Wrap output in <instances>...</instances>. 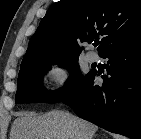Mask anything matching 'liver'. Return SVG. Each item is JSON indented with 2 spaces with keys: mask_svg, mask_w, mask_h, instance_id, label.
<instances>
[{
  "mask_svg": "<svg viewBox=\"0 0 141 139\" xmlns=\"http://www.w3.org/2000/svg\"><path fill=\"white\" fill-rule=\"evenodd\" d=\"M98 127L62 110L39 115L21 112L13 122L10 139H93Z\"/></svg>",
  "mask_w": 141,
  "mask_h": 139,
  "instance_id": "6515ba94",
  "label": "liver"
}]
</instances>
